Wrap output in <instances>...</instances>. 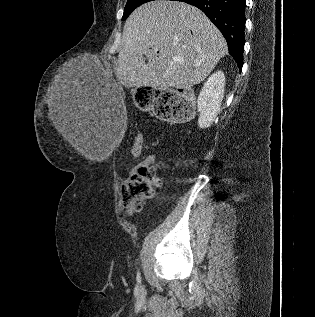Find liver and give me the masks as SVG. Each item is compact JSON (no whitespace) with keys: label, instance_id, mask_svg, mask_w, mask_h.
Instances as JSON below:
<instances>
[{"label":"liver","instance_id":"1","mask_svg":"<svg viewBox=\"0 0 315 317\" xmlns=\"http://www.w3.org/2000/svg\"><path fill=\"white\" fill-rule=\"evenodd\" d=\"M227 52L221 32L199 9L156 0L138 7L126 20L117 78L126 88L190 89L205 80ZM49 118L75 149L86 154L82 119L64 81L55 85Z\"/></svg>","mask_w":315,"mask_h":317}]
</instances>
